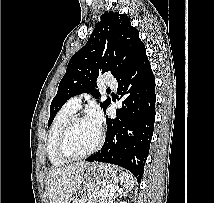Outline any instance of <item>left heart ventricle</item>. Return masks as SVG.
I'll return each mask as SVG.
<instances>
[{
	"instance_id": "obj_1",
	"label": "left heart ventricle",
	"mask_w": 214,
	"mask_h": 203,
	"mask_svg": "<svg viewBox=\"0 0 214 203\" xmlns=\"http://www.w3.org/2000/svg\"><path fill=\"white\" fill-rule=\"evenodd\" d=\"M99 135V128L87 119L78 122L72 129L68 140L67 150L71 154H82L93 147Z\"/></svg>"
}]
</instances>
